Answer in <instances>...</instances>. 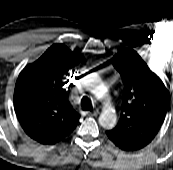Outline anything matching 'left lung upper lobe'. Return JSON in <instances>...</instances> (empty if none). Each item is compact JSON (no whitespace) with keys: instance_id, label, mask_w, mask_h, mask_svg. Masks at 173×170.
<instances>
[{"instance_id":"obj_1","label":"left lung upper lobe","mask_w":173,"mask_h":170,"mask_svg":"<svg viewBox=\"0 0 173 170\" xmlns=\"http://www.w3.org/2000/svg\"><path fill=\"white\" fill-rule=\"evenodd\" d=\"M124 84L119 122L106 132L120 149L136 151L148 145L166 116L169 93L161 79L131 48L112 58Z\"/></svg>"}]
</instances>
